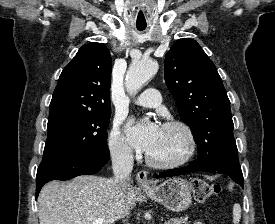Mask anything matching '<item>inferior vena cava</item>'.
Here are the masks:
<instances>
[{"mask_svg": "<svg viewBox=\"0 0 275 224\" xmlns=\"http://www.w3.org/2000/svg\"><path fill=\"white\" fill-rule=\"evenodd\" d=\"M112 169L114 173V181L119 193L121 208L125 211V219L129 216V211L126 208V191L130 187V173L133 169L134 157L130 149L126 147H118L111 151Z\"/></svg>", "mask_w": 275, "mask_h": 224, "instance_id": "obj_1", "label": "inferior vena cava"}]
</instances>
